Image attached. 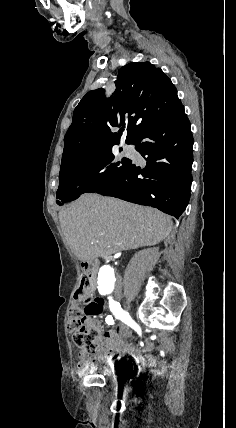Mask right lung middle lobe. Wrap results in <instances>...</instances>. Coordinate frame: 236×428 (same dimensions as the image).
<instances>
[{"mask_svg":"<svg viewBox=\"0 0 236 428\" xmlns=\"http://www.w3.org/2000/svg\"><path fill=\"white\" fill-rule=\"evenodd\" d=\"M132 144V141H126ZM111 146L104 150L84 157L68 167L60 170L59 188L56 193L58 205L73 201L83 193H93L109 185L118 174L131 164V160L123 158L114 162L115 156ZM122 149H120L121 151Z\"/></svg>","mask_w":236,"mask_h":428,"instance_id":"1","label":"right lung middle lobe"}]
</instances>
